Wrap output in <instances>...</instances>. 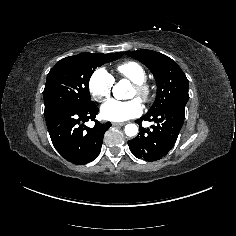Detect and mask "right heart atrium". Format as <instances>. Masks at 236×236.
Masks as SVG:
<instances>
[{
	"instance_id": "right-heart-atrium-1",
	"label": "right heart atrium",
	"mask_w": 236,
	"mask_h": 236,
	"mask_svg": "<svg viewBox=\"0 0 236 236\" xmlns=\"http://www.w3.org/2000/svg\"><path fill=\"white\" fill-rule=\"evenodd\" d=\"M113 85L112 76L103 69H97L93 72L88 82L92 99L99 104L107 102L110 99Z\"/></svg>"
}]
</instances>
